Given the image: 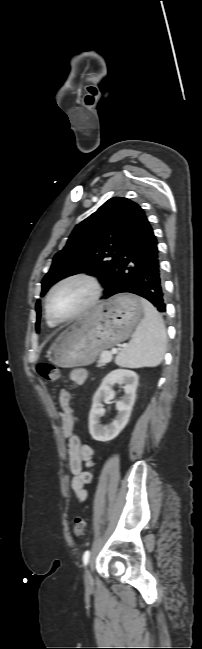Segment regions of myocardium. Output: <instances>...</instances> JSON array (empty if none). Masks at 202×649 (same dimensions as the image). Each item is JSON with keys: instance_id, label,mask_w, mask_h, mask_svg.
<instances>
[{"instance_id": "myocardium-1", "label": "myocardium", "mask_w": 202, "mask_h": 649, "mask_svg": "<svg viewBox=\"0 0 202 649\" xmlns=\"http://www.w3.org/2000/svg\"><path fill=\"white\" fill-rule=\"evenodd\" d=\"M73 280H82L88 283L92 289V294L88 302L83 305L78 311H76L74 314L65 317V318H59L56 317L50 310L49 307V302L52 297V295L55 293V291L63 284L73 281ZM102 295V284L100 280L93 274L88 273V272H74L71 274H68L62 278H60L58 281H56L52 287L49 289L46 297H45V302H44V309L46 316L55 324H60V323H65V322H70L73 321L85 313H87L89 310H91L99 301L100 297Z\"/></svg>"}]
</instances>
